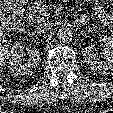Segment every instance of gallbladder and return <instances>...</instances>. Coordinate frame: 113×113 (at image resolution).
<instances>
[{"label":"gallbladder","mask_w":113,"mask_h":113,"mask_svg":"<svg viewBox=\"0 0 113 113\" xmlns=\"http://www.w3.org/2000/svg\"><path fill=\"white\" fill-rule=\"evenodd\" d=\"M5 1L6 0H0V7H1L2 10H3L4 6H5ZM12 1H15V0H12Z\"/></svg>","instance_id":"obj_1"}]
</instances>
